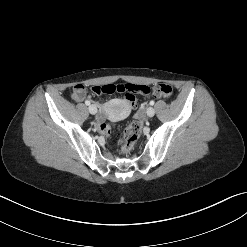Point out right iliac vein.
I'll return each mask as SVG.
<instances>
[{
  "mask_svg": "<svg viewBox=\"0 0 247 247\" xmlns=\"http://www.w3.org/2000/svg\"><path fill=\"white\" fill-rule=\"evenodd\" d=\"M88 110H89V112H90L91 114H96V113H97V107H96L94 104L90 105V106L88 107Z\"/></svg>",
  "mask_w": 247,
  "mask_h": 247,
  "instance_id": "right-iliac-vein-1",
  "label": "right iliac vein"
}]
</instances>
